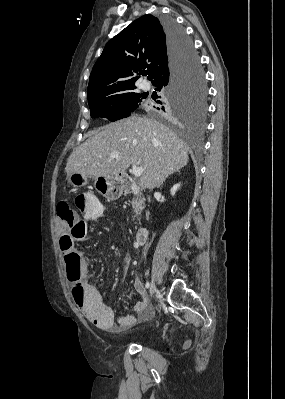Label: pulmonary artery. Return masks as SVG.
Segmentation results:
<instances>
[{
  "label": "pulmonary artery",
  "instance_id": "1",
  "mask_svg": "<svg viewBox=\"0 0 285 399\" xmlns=\"http://www.w3.org/2000/svg\"><path fill=\"white\" fill-rule=\"evenodd\" d=\"M143 88H144V89H148V88H149V84L146 83V82H144V83H143Z\"/></svg>",
  "mask_w": 285,
  "mask_h": 399
}]
</instances>
